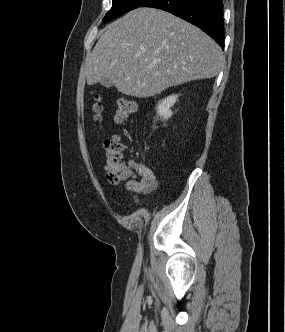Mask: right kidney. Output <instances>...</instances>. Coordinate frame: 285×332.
<instances>
[{"label": "right kidney", "mask_w": 285, "mask_h": 332, "mask_svg": "<svg viewBox=\"0 0 285 332\" xmlns=\"http://www.w3.org/2000/svg\"><path fill=\"white\" fill-rule=\"evenodd\" d=\"M178 95H170L167 98L160 101L156 107L157 115L167 120L173 114L171 107L176 103Z\"/></svg>", "instance_id": "obj_1"}]
</instances>
